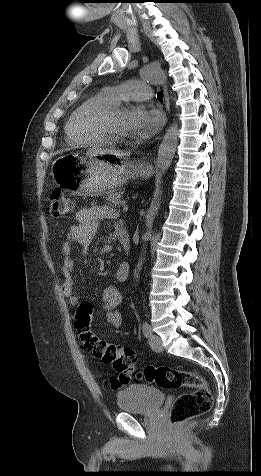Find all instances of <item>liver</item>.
I'll return each instance as SVG.
<instances>
[{
  "instance_id": "6515ba94",
  "label": "liver",
  "mask_w": 261,
  "mask_h": 476,
  "mask_svg": "<svg viewBox=\"0 0 261 476\" xmlns=\"http://www.w3.org/2000/svg\"><path fill=\"white\" fill-rule=\"evenodd\" d=\"M88 152L96 153L100 155H104V154L113 155V156H116L117 158H123L124 156H128V154L125 152H121V151H117L113 149H101L98 147H93Z\"/></svg>"
}]
</instances>
